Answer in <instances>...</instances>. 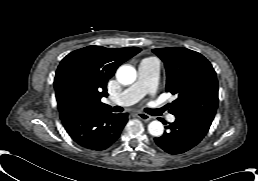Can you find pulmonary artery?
Returning a JSON list of instances; mask_svg holds the SVG:
<instances>
[{
    "label": "pulmonary artery",
    "mask_w": 258,
    "mask_h": 181,
    "mask_svg": "<svg viewBox=\"0 0 258 181\" xmlns=\"http://www.w3.org/2000/svg\"><path fill=\"white\" fill-rule=\"evenodd\" d=\"M160 63L157 58L149 57L141 60L138 66L137 81L125 89L120 95L111 99L118 105H132L141 100L147 94H154L157 87ZM173 122L175 117L169 116Z\"/></svg>",
    "instance_id": "pulmonary-artery-1"
}]
</instances>
